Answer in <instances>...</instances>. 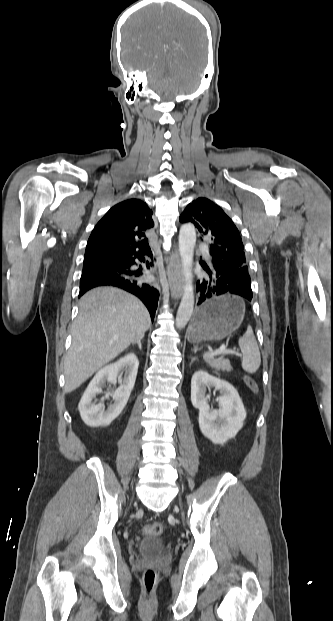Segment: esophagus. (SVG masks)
<instances>
[{
	"mask_svg": "<svg viewBox=\"0 0 333 621\" xmlns=\"http://www.w3.org/2000/svg\"><path fill=\"white\" fill-rule=\"evenodd\" d=\"M167 275L172 297L174 299L180 298L183 292V275L177 251L173 252L169 258Z\"/></svg>",
	"mask_w": 333,
	"mask_h": 621,
	"instance_id": "obj_1",
	"label": "esophagus"
}]
</instances>
